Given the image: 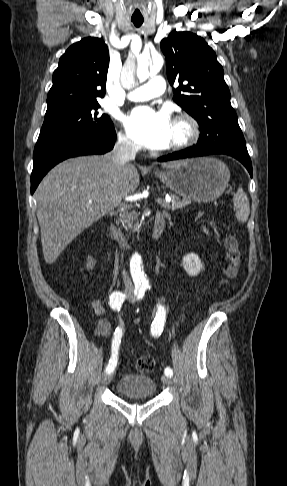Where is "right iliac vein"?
<instances>
[{
    "mask_svg": "<svg viewBox=\"0 0 287 486\" xmlns=\"http://www.w3.org/2000/svg\"><path fill=\"white\" fill-rule=\"evenodd\" d=\"M111 380H112V376H111V374H106V375H104V376H103V378H102V382H103V384H105V385L109 384V383L111 382Z\"/></svg>",
    "mask_w": 287,
    "mask_h": 486,
    "instance_id": "63e3f726",
    "label": "right iliac vein"
}]
</instances>
